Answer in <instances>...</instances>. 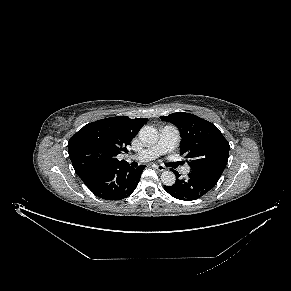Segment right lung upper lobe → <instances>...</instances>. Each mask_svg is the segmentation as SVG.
Listing matches in <instances>:
<instances>
[{
  "instance_id": "obj_1",
  "label": "right lung upper lobe",
  "mask_w": 291,
  "mask_h": 291,
  "mask_svg": "<svg viewBox=\"0 0 291 291\" xmlns=\"http://www.w3.org/2000/svg\"><path fill=\"white\" fill-rule=\"evenodd\" d=\"M147 120L116 116L85 125L68 142L69 157L76 173L81 176L97 167L127 164L116 157L121 151H127L126 146Z\"/></svg>"
}]
</instances>
